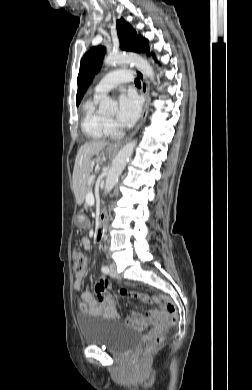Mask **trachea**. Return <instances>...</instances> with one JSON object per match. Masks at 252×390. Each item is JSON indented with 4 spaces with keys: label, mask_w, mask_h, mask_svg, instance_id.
<instances>
[{
    "label": "trachea",
    "mask_w": 252,
    "mask_h": 390,
    "mask_svg": "<svg viewBox=\"0 0 252 390\" xmlns=\"http://www.w3.org/2000/svg\"><path fill=\"white\" fill-rule=\"evenodd\" d=\"M135 85L140 87L141 86V82H140V79L139 78H136L135 79Z\"/></svg>",
    "instance_id": "3493384b"
}]
</instances>
